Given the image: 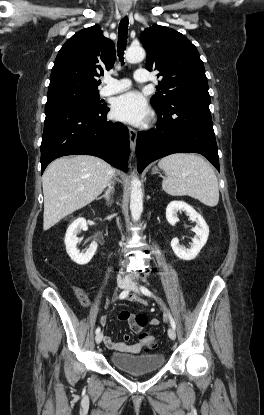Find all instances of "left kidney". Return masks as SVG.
<instances>
[{
    "label": "left kidney",
    "mask_w": 264,
    "mask_h": 415,
    "mask_svg": "<svg viewBox=\"0 0 264 415\" xmlns=\"http://www.w3.org/2000/svg\"><path fill=\"white\" fill-rule=\"evenodd\" d=\"M181 211L186 212L189 218L196 222V226L193 228L195 236L192 238L190 248H185L180 245L178 238L172 239L171 247L178 258L189 261L196 258L200 250L206 244L209 236V227L204 218L196 212L192 206L183 201L177 200L171 201L166 208V219L169 224L174 226L178 222V212Z\"/></svg>",
    "instance_id": "left-kidney-1"
}]
</instances>
